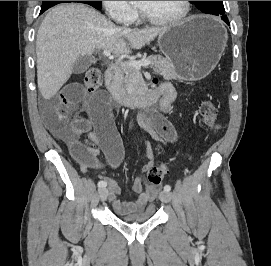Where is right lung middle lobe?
Instances as JSON below:
<instances>
[{
    "label": "right lung middle lobe",
    "mask_w": 271,
    "mask_h": 266,
    "mask_svg": "<svg viewBox=\"0 0 271 266\" xmlns=\"http://www.w3.org/2000/svg\"><path fill=\"white\" fill-rule=\"evenodd\" d=\"M64 2L85 3V4H89V5L93 6L94 8H96L98 10H100L102 7L101 1H43L41 11H45L56 4L64 3Z\"/></svg>",
    "instance_id": "1"
}]
</instances>
